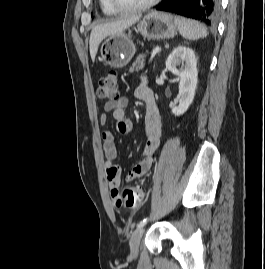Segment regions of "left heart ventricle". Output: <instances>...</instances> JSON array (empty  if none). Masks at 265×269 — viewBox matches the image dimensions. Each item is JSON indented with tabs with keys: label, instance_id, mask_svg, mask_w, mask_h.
<instances>
[{
	"label": "left heart ventricle",
	"instance_id": "1",
	"mask_svg": "<svg viewBox=\"0 0 265 269\" xmlns=\"http://www.w3.org/2000/svg\"><path fill=\"white\" fill-rule=\"evenodd\" d=\"M117 1L120 5L129 7L143 4L149 0H117Z\"/></svg>",
	"mask_w": 265,
	"mask_h": 269
}]
</instances>
